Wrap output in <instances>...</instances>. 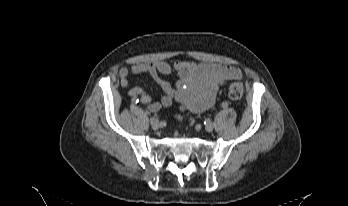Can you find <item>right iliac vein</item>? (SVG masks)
I'll list each match as a JSON object with an SVG mask.
<instances>
[{
	"mask_svg": "<svg viewBox=\"0 0 348 206\" xmlns=\"http://www.w3.org/2000/svg\"><path fill=\"white\" fill-rule=\"evenodd\" d=\"M150 124L153 129H157L160 126V122L156 118H150Z\"/></svg>",
	"mask_w": 348,
	"mask_h": 206,
	"instance_id": "1",
	"label": "right iliac vein"
}]
</instances>
